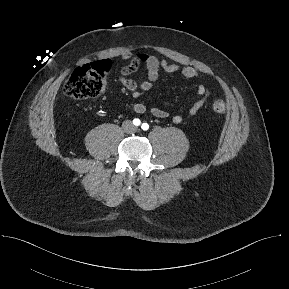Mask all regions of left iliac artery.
Segmentation results:
<instances>
[{"label": "left iliac artery", "instance_id": "obj_1", "mask_svg": "<svg viewBox=\"0 0 289 289\" xmlns=\"http://www.w3.org/2000/svg\"><path fill=\"white\" fill-rule=\"evenodd\" d=\"M141 128L146 131V130H148L149 125L147 123H143Z\"/></svg>", "mask_w": 289, "mask_h": 289}]
</instances>
